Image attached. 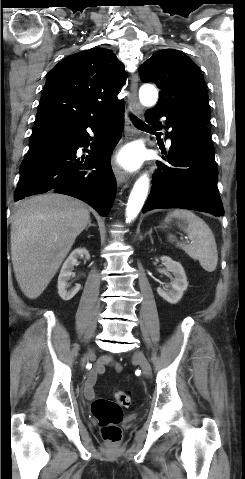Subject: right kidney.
<instances>
[{
	"label": "right kidney",
	"mask_w": 245,
	"mask_h": 479,
	"mask_svg": "<svg viewBox=\"0 0 245 479\" xmlns=\"http://www.w3.org/2000/svg\"><path fill=\"white\" fill-rule=\"evenodd\" d=\"M80 257H85L87 260H89L90 254L88 250L85 248H77L73 250L69 257L65 260L61 268L58 277L57 288L59 296L64 301L72 299L81 288L80 284H76V286L73 287L71 290H67V282L70 280L74 266L77 265V259Z\"/></svg>",
	"instance_id": "ca27d5eb"
}]
</instances>
